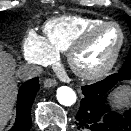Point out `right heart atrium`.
<instances>
[{"instance_id": "right-heart-atrium-1", "label": "right heart atrium", "mask_w": 131, "mask_h": 131, "mask_svg": "<svg viewBox=\"0 0 131 131\" xmlns=\"http://www.w3.org/2000/svg\"><path fill=\"white\" fill-rule=\"evenodd\" d=\"M24 58L31 63L46 65L55 61L57 54L46 40L35 32H30L25 37L22 45Z\"/></svg>"}]
</instances>
